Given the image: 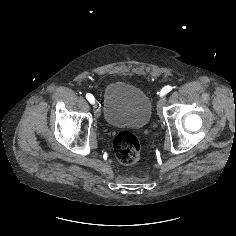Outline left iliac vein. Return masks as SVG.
<instances>
[{
    "label": "left iliac vein",
    "instance_id": "4c4485c4",
    "mask_svg": "<svg viewBox=\"0 0 236 236\" xmlns=\"http://www.w3.org/2000/svg\"><path fill=\"white\" fill-rule=\"evenodd\" d=\"M165 103H166L165 96H163L157 103V111L160 116L162 115V107H163V105H165Z\"/></svg>",
    "mask_w": 236,
    "mask_h": 236
}]
</instances>
